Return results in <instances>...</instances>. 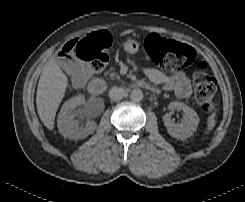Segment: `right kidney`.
Returning a JSON list of instances; mask_svg holds the SVG:
<instances>
[{
  "label": "right kidney",
  "mask_w": 245,
  "mask_h": 202,
  "mask_svg": "<svg viewBox=\"0 0 245 202\" xmlns=\"http://www.w3.org/2000/svg\"><path fill=\"white\" fill-rule=\"evenodd\" d=\"M85 98L83 95L75 96L67 100L63 105L58 115V129L59 132L69 139H81L86 138L89 134H92L97 125L93 121L87 122L86 126L79 124L75 119L79 115V111L76 108L84 104Z\"/></svg>",
  "instance_id": "ca27d5eb"
}]
</instances>
